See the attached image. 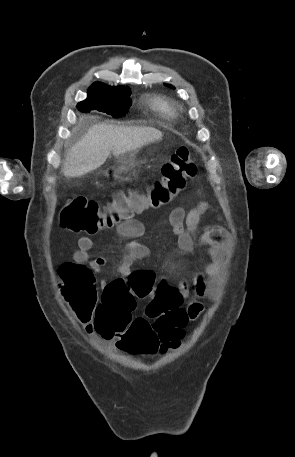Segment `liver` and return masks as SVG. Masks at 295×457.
<instances>
[{
	"label": "liver",
	"instance_id": "6515ba94",
	"mask_svg": "<svg viewBox=\"0 0 295 457\" xmlns=\"http://www.w3.org/2000/svg\"><path fill=\"white\" fill-rule=\"evenodd\" d=\"M161 139L162 132L153 127L96 124L68 151L62 172L80 177L103 165L111 152L119 157Z\"/></svg>",
	"mask_w": 295,
	"mask_h": 457
}]
</instances>
